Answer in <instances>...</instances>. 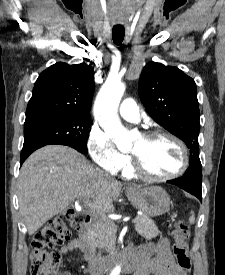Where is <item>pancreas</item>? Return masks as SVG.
I'll use <instances>...</instances> for the list:
<instances>
[{
  "label": "pancreas",
  "mask_w": 225,
  "mask_h": 275,
  "mask_svg": "<svg viewBox=\"0 0 225 275\" xmlns=\"http://www.w3.org/2000/svg\"><path fill=\"white\" fill-rule=\"evenodd\" d=\"M138 222L135 229L138 234L146 239H152L159 235V230L153 220L146 216H137ZM117 226L108 219L94 220L88 227L89 242L93 247H112L115 241Z\"/></svg>",
  "instance_id": "obj_1"
}]
</instances>
